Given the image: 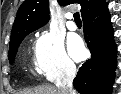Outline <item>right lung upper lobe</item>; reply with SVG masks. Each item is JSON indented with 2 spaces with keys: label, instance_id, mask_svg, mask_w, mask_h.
Segmentation results:
<instances>
[{
  "label": "right lung upper lobe",
  "instance_id": "right-lung-upper-lobe-1",
  "mask_svg": "<svg viewBox=\"0 0 121 94\" xmlns=\"http://www.w3.org/2000/svg\"><path fill=\"white\" fill-rule=\"evenodd\" d=\"M60 5L78 3L82 17L96 10L104 0H58ZM49 20L48 0H25L20 6L13 24L11 39L27 30H36ZM10 39V40H11Z\"/></svg>",
  "mask_w": 121,
  "mask_h": 94
}]
</instances>
